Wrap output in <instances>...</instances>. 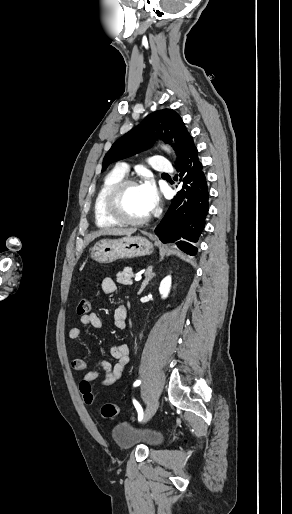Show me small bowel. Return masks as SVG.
I'll use <instances>...</instances> for the list:
<instances>
[{
  "label": "small bowel",
  "mask_w": 292,
  "mask_h": 514,
  "mask_svg": "<svg viewBox=\"0 0 292 514\" xmlns=\"http://www.w3.org/2000/svg\"><path fill=\"white\" fill-rule=\"evenodd\" d=\"M101 287L106 294H115L117 292V285L115 281L106 277L101 282ZM127 308L124 305H117L113 310L114 326L118 330H125L127 327ZM82 325L90 326L94 329H100L102 327V321L96 313H90L80 318ZM82 330L79 327H72L68 331V337L70 340H77L81 337ZM112 357L115 362L112 364L107 361H101L98 363V368L87 371L82 381L89 383L95 381L103 374V379L100 381L101 386H110L118 382L123 374L125 367L129 362V347L126 344L114 345L110 349ZM72 369L77 372L86 371L88 369L87 362L82 358H75L71 363Z\"/></svg>",
  "instance_id": "obj_1"
}]
</instances>
